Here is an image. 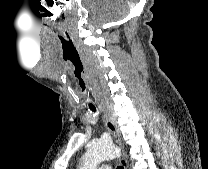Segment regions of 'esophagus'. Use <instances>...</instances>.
<instances>
[{"instance_id":"esophagus-1","label":"esophagus","mask_w":208,"mask_h":169,"mask_svg":"<svg viewBox=\"0 0 208 169\" xmlns=\"http://www.w3.org/2000/svg\"><path fill=\"white\" fill-rule=\"evenodd\" d=\"M100 110L103 113V122L108 129V131L112 134L114 137L116 143L119 145L120 149L122 147L120 136L116 127L115 121L111 118L110 112L104 105H100ZM120 165L123 167V169H127V161L124 157H120L119 159Z\"/></svg>"}]
</instances>
